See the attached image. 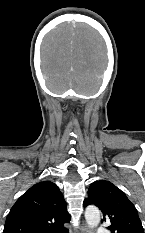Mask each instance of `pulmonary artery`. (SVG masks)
Instances as JSON below:
<instances>
[{"label":"pulmonary artery","mask_w":145,"mask_h":233,"mask_svg":"<svg viewBox=\"0 0 145 233\" xmlns=\"http://www.w3.org/2000/svg\"><path fill=\"white\" fill-rule=\"evenodd\" d=\"M97 233H110V231H108V230H103V229H101V228H98V229H97Z\"/></svg>","instance_id":"e3ab8cb5"}]
</instances>
